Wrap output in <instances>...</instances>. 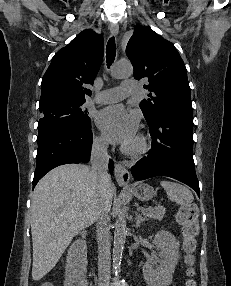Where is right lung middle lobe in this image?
<instances>
[{
    "label": "right lung middle lobe",
    "mask_w": 231,
    "mask_h": 286,
    "mask_svg": "<svg viewBox=\"0 0 231 286\" xmlns=\"http://www.w3.org/2000/svg\"><path fill=\"white\" fill-rule=\"evenodd\" d=\"M85 101H57L39 106L41 118L38 123V135L61 126L90 125L87 110L82 108Z\"/></svg>",
    "instance_id": "right-lung-middle-lobe-1"
}]
</instances>
